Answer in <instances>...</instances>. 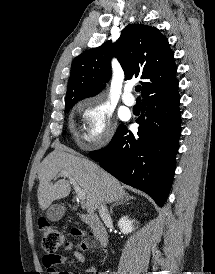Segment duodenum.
<instances>
[{
  "label": "duodenum",
  "mask_w": 215,
  "mask_h": 274,
  "mask_svg": "<svg viewBox=\"0 0 215 274\" xmlns=\"http://www.w3.org/2000/svg\"><path fill=\"white\" fill-rule=\"evenodd\" d=\"M78 215L80 219L90 227L100 246L105 247L108 236L101 220L94 214L78 213Z\"/></svg>",
  "instance_id": "duodenum-1"
}]
</instances>
